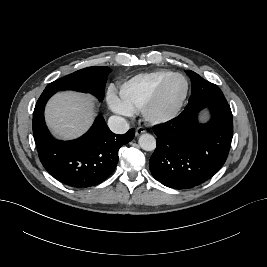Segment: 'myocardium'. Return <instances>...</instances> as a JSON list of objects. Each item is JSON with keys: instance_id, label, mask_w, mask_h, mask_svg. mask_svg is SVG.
Wrapping results in <instances>:
<instances>
[{"instance_id": "obj_1", "label": "myocardium", "mask_w": 267, "mask_h": 267, "mask_svg": "<svg viewBox=\"0 0 267 267\" xmlns=\"http://www.w3.org/2000/svg\"><path fill=\"white\" fill-rule=\"evenodd\" d=\"M175 78H182L185 81V91L179 102L172 108L168 110H160L159 104L163 93L168 86V84ZM189 81L188 79L180 73H173L167 78H165L156 88L150 99L147 101L145 106L143 107V115L145 119L151 123L161 124L166 123L172 119H174L182 110L188 94H189Z\"/></svg>"}]
</instances>
